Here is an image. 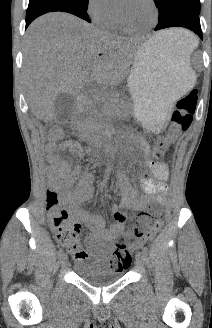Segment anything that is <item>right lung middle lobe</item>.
<instances>
[{"label": "right lung middle lobe", "instance_id": "obj_1", "mask_svg": "<svg viewBox=\"0 0 212 328\" xmlns=\"http://www.w3.org/2000/svg\"><path fill=\"white\" fill-rule=\"evenodd\" d=\"M76 1H78L84 5H87V6H88V2H89V0H76Z\"/></svg>", "mask_w": 212, "mask_h": 328}]
</instances>
